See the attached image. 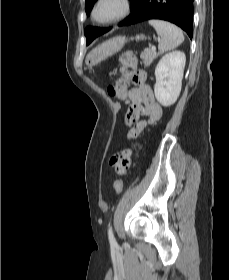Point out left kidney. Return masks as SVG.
Masks as SVG:
<instances>
[{
  "mask_svg": "<svg viewBox=\"0 0 229 280\" xmlns=\"http://www.w3.org/2000/svg\"><path fill=\"white\" fill-rule=\"evenodd\" d=\"M186 57L181 51L165 54L155 69L156 84L154 93L164 107L173 105L179 97Z\"/></svg>",
  "mask_w": 229,
  "mask_h": 280,
  "instance_id": "obj_1",
  "label": "left kidney"
}]
</instances>
